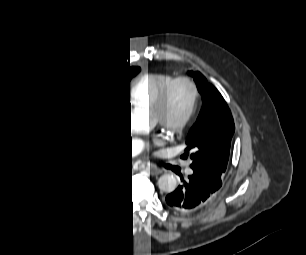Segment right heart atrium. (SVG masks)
I'll list each match as a JSON object with an SVG mask.
<instances>
[{
	"instance_id": "right-heart-atrium-1",
	"label": "right heart atrium",
	"mask_w": 306,
	"mask_h": 255,
	"mask_svg": "<svg viewBox=\"0 0 306 255\" xmlns=\"http://www.w3.org/2000/svg\"><path fill=\"white\" fill-rule=\"evenodd\" d=\"M125 124V119L123 117H118L117 118V125L118 126H123Z\"/></svg>"
}]
</instances>
